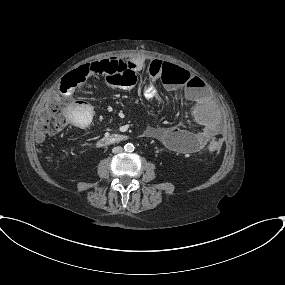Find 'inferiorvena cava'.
I'll return each instance as SVG.
<instances>
[{
    "instance_id": "obj_1",
    "label": "inferior vena cava",
    "mask_w": 285,
    "mask_h": 285,
    "mask_svg": "<svg viewBox=\"0 0 285 285\" xmlns=\"http://www.w3.org/2000/svg\"><path fill=\"white\" fill-rule=\"evenodd\" d=\"M122 151H123V148L121 146H117V147H114L112 149V152L115 153V154L120 153Z\"/></svg>"
}]
</instances>
